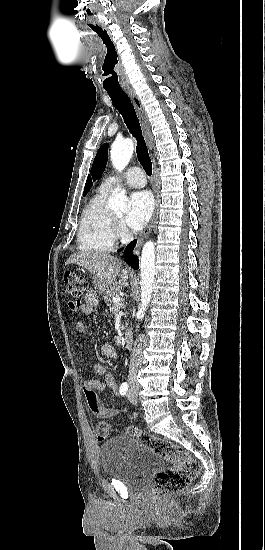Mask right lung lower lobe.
Returning <instances> with one entry per match:
<instances>
[{
	"label": "right lung lower lobe",
	"mask_w": 265,
	"mask_h": 550,
	"mask_svg": "<svg viewBox=\"0 0 265 550\" xmlns=\"http://www.w3.org/2000/svg\"><path fill=\"white\" fill-rule=\"evenodd\" d=\"M136 245V240L127 245L124 252V260L134 269H138L139 260L136 256L133 255V249Z\"/></svg>",
	"instance_id": "right-lung-lower-lobe-1"
}]
</instances>
